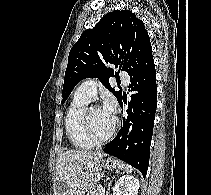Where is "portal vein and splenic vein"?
Here are the masks:
<instances>
[{
	"mask_svg": "<svg viewBox=\"0 0 211 195\" xmlns=\"http://www.w3.org/2000/svg\"><path fill=\"white\" fill-rule=\"evenodd\" d=\"M105 193V187H101L99 190V195H104Z\"/></svg>",
	"mask_w": 211,
	"mask_h": 195,
	"instance_id": "portal-vein-and-splenic-vein-1",
	"label": "portal vein and splenic vein"
}]
</instances>
